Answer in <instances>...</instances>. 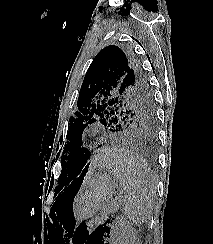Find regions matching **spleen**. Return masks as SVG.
<instances>
[{
  "label": "spleen",
  "instance_id": "spleen-1",
  "mask_svg": "<svg viewBox=\"0 0 213 244\" xmlns=\"http://www.w3.org/2000/svg\"><path fill=\"white\" fill-rule=\"evenodd\" d=\"M103 165L119 180L129 221L133 225L146 222L152 213L151 197L155 191L147 163L131 151L114 149Z\"/></svg>",
  "mask_w": 213,
  "mask_h": 244
}]
</instances>
